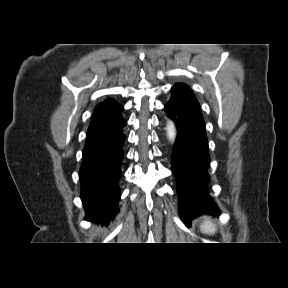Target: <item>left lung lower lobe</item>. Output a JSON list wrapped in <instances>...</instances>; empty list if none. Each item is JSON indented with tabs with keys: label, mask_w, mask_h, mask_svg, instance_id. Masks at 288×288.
<instances>
[{
	"label": "left lung lower lobe",
	"mask_w": 288,
	"mask_h": 288,
	"mask_svg": "<svg viewBox=\"0 0 288 288\" xmlns=\"http://www.w3.org/2000/svg\"><path fill=\"white\" fill-rule=\"evenodd\" d=\"M171 91L165 109L178 130L171 169L176 177L179 214L189 227L192 219L219 215L220 211L208 193L210 156L200 105L190 89Z\"/></svg>",
	"instance_id": "left-lung-lower-lobe-1"
}]
</instances>
